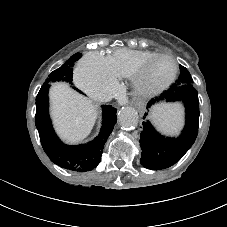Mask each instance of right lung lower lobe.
<instances>
[{"mask_svg":"<svg viewBox=\"0 0 227 227\" xmlns=\"http://www.w3.org/2000/svg\"><path fill=\"white\" fill-rule=\"evenodd\" d=\"M49 87H41L36 97L35 125L45 153L62 168L78 172L92 170L99 164L104 144L116 123V109L110 105L103 106L101 131L94 140L77 146L66 145L55 134L49 117Z\"/></svg>","mask_w":227,"mask_h":227,"instance_id":"right-lung-lower-lobe-1","label":"right lung lower lobe"}]
</instances>
